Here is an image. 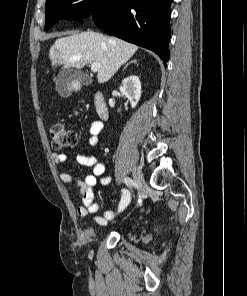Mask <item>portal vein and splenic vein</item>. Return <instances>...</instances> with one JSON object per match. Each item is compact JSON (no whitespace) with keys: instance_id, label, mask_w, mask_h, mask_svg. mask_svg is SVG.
<instances>
[{"instance_id":"portal-vein-and-splenic-vein-1","label":"portal vein and splenic vein","mask_w":247,"mask_h":296,"mask_svg":"<svg viewBox=\"0 0 247 296\" xmlns=\"http://www.w3.org/2000/svg\"><path fill=\"white\" fill-rule=\"evenodd\" d=\"M100 67H101V65L98 64V63H92V64H91V70H92L93 72L98 71V69H99Z\"/></svg>"}]
</instances>
